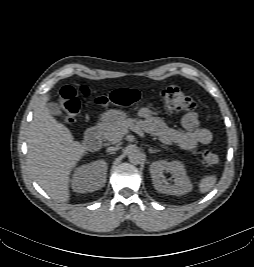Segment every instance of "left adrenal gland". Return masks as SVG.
Instances as JSON below:
<instances>
[{
	"mask_svg": "<svg viewBox=\"0 0 254 267\" xmlns=\"http://www.w3.org/2000/svg\"><path fill=\"white\" fill-rule=\"evenodd\" d=\"M149 153H156V152H160V150H157V149H152V148H149L148 149Z\"/></svg>",
	"mask_w": 254,
	"mask_h": 267,
	"instance_id": "1",
	"label": "left adrenal gland"
}]
</instances>
